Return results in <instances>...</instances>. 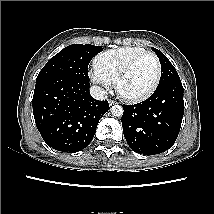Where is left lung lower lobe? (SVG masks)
<instances>
[{"mask_svg":"<svg viewBox=\"0 0 214 214\" xmlns=\"http://www.w3.org/2000/svg\"><path fill=\"white\" fill-rule=\"evenodd\" d=\"M123 133L130 148L140 154H160L175 143L184 114L181 81L157 87L145 101L123 105Z\"/></svg>","mask_w":214,"mask_h":214,"instance_id":"0a47b994","label":"left lung lower lobe"}]
</instances>
